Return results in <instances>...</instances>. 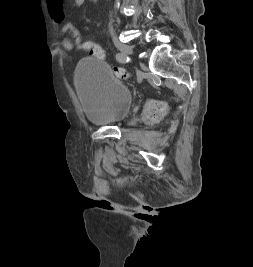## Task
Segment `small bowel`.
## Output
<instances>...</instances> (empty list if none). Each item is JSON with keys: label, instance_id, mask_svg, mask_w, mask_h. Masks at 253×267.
I'll use <instances>...</instances> for the list:
<instances>
[{"label": "small bowel", "instance_id": "small-bowel-1", "mask_svg": "<svg viewBox=\"0 0 253 267\" xmlns=\"http://www.w3.org/2000/svg\"><path fill=\"white\" fill-rule=\"evenodd\" d=\"M85 2L86 0H73L75 6H82ZM47 5L52 19L58 24H64L66 15L63 10V0H47ZM74 33H78V31L72 25H66L65 33L60 38V44L67 51L73 49L70 36Z\"/></svg>", "mask_w": 253, "mask_h": 267}]
</instances>
